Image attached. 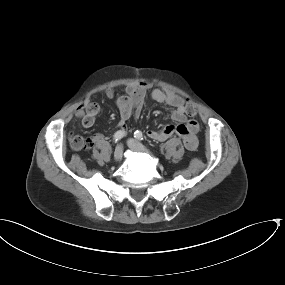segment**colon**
<instances>
[{
  "instance_id": "colon-1",
  "label": "colon",
  "mask_w": 285,
  "mask_h": 285,
  "mask_svg": "<svg viewBox=\"0 0 285 285\" xmlns=\"http://www.w3.org/2000/svg\"><path fill=\"white\" fill-rule=\"evenodd\" d=\"M196 113H197L196 107L193 104H189L187 106V114L189 116H194ZM72 142L76 149H86L89 146L88 138L81 135L74 136Z\"/></svg>"
}]
</instances>
